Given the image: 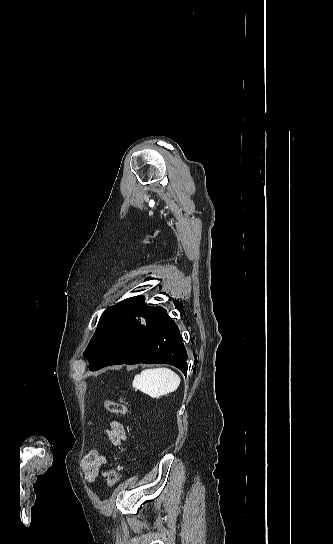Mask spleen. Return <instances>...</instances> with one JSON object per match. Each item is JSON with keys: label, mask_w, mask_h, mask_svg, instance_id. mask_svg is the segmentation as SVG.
<instances>
[{"label": "spleen", "mask_w": 333, "mask_h": 544, "mask_svg": "<svg viewBox=\"0 0 333 544\" xmlns=\"http://www.w3.org/2000/svg\"><path fill=\"white\" fill-rule=\"evenodd\" d=\"M180 384V377L168 368L145 369L136 375L133 387L148 394L152 398H159L174 392Z\"/></svg>", "instance_id": "obj_1"}]
</instances>
